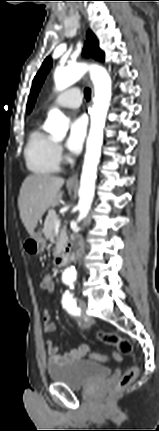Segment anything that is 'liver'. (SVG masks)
<instances>
[{"instance_id":"1","label":"liver","mask_w":159,"mask_h":431,"mask_svg":"<svg viewBox=\"0 0 159 431\" xmlns=\"http://www.w3.org/2000/svg\"><path fill=\"white\" fill-rule=\"evenodd\" d=\"M63 184V178L48 174H32L23 181L18 206L20 218L30 236L47 209L60 203Z\"/></svg>"}]
</instances>
